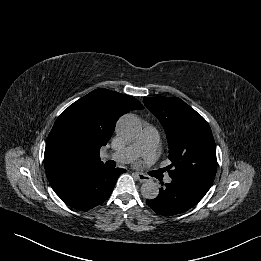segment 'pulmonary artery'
Returning a JSON list of instances; mask_svg holds the SVG:
<instances>
[{
    "label": "pulmonary artery",
    "mask_w": 261,
    "mask_h": 261,
    "mask_svg": "<svg viewBox=\"0 0 261 261\" xmlns=\"http://www.w3.org/2000/svg\"><path fill=\"white\" fill-rule=\"evenodd\" d=\"M159 142V133L153 126H147L143 129L139 137L127 147L107 153L102 156L104 160L112 159L118 163H130L139 156H144L148 160H153L156 155V147ZM166 183H171L172 179L167 177Z\"/></svg>",
    "instance_id": "e3ab8cb5"
}]
</instances>
